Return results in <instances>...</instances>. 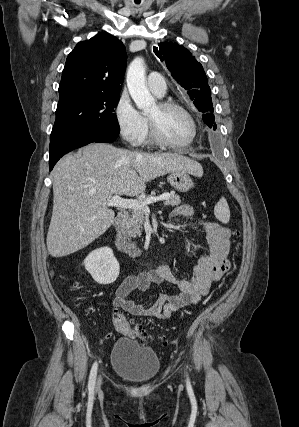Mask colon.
<instances>
[{
	"mask_svg": "<svg viewBox=\"0 0 299 427\" xmlns=\"http://www.w3.org/2000/svg\"><path fill=\"white\" fill-rule=\"evenodd\" d=\"M113 324L117 332L128 335L130 337L139 338L142 342H146L147 336L136 328L133 323L124 315L116 312L113 316Z\"/></svg>",
	"mask_w": 299,
	"mask_h": 427,
	"instance_id": "colon-1",
	"label": "colon"
}]
</instances>
